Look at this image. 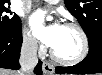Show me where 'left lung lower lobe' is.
Returning a JSON list of instances; mask_svg holds the SVG:
<instances>
[{
    "instance_id": "1",
    "label": "left lung lower lobe",
    "mask_w": 102,
    "mask_h": 75,
    "mask_svg": "<svg viewBox=\"0 0 102 75\" xmlns=\"http://www.w3.org/2000/svg\"><path fill=\"white\" fill-rule=\"evenodd\" d=\"M89 53L80 63L70 67H56L57 74H95L102 73V33L88 38Z\"/></svg>"
}]
</instances>
